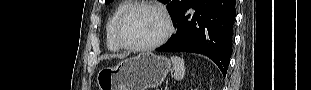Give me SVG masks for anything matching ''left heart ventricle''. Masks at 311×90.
I'll return each mask as SVG.
<instances>
[{
    "label": "left heart ventricle",
    "mask_w": 311,
    "mask_h": 90,
    "mask_svg": "<svg viewBox=\"0 0 311 90\" xmlns=\"http://www.w3.org/2000/svg\"><path fill=\"white\" fill-rule=\"evenodd\" d=\"M165 30L162 17L155 11L142 8L134 11L123 23L121 36L133 46H142L158 40Z\"/></svg>",
    "instance_id": "b2bd125f"
}]
</instances>
